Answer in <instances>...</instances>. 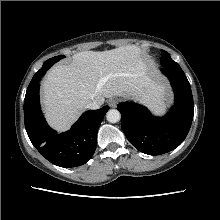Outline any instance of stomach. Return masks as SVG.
I'll return each instance as SVG.
<instances>
[{"instance_id": "1", "label": "stomach", "mask_w": 220, "mask_h": 220, "mask_svg": "<svg viewBox=\"0 0 220 220\" xmlns=\"http://www.w3.org/2000/svg\"><path fill=\"white\" fill-rule=\"evenodd\" d=\"M146 92H147V87H146V86H143V87L139 90L138 94L144 96V95L146 94Z\"/></svg>"}]
</instances>
